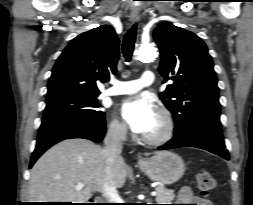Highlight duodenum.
Listing matches in <instances>:
<instances>
[{
    "instance_id": "410a0bca",
    "label": "duodenum",
    "mask_w": 253,
    "mask_h": 205,
    "mask_svg": "<svg viewBox=\"0 0 253 205\" xmlns=\"http://www.w3.org/2000/svg\"><path fill=\"white\" fill-rule=\"evenodd\" d=\"M95 201H100L99 199H95Z\"/></svg>"
}]
</instances>
